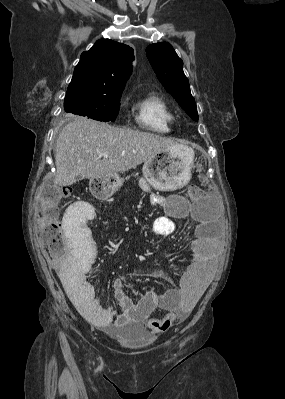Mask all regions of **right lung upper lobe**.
<instances>
[{"label":"right lung upper lobe","instance_id":"1","mask_svg":"<svg viewBox=\"0 0 285 399\" xmlns=\"http://www.w3.org/2000/svg\"><path fill=\"white\" fill-rule=\"evenodd\" d=\"M133 60L131 47L110 39L96 41L81 54L66 95H113L123 91Z\"/></svg>","mask_w":285,"mask_h":399}]
</instances>
